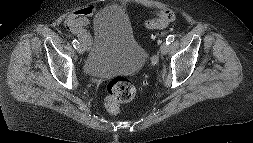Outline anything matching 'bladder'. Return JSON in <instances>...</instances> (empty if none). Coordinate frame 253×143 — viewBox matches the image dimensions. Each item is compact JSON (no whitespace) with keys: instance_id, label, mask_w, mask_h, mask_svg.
<instances>
[{"instance_id":"1","label":"bladder","mask_w":253,"mask_h":143,"mask_svg":"<svg viewBox=\"0 0 253 143\" xmlns=\"http://www.w3.org/2000/svg\"><path fill=\"white\" fill-rule=\"evenodd\" d=\"M145 60L146 50L135 38L126 11L119 6L101 9L94 17L93 40L83 64L85 73L99 78L130 74Z\"/></svg>"}]
</instances>
